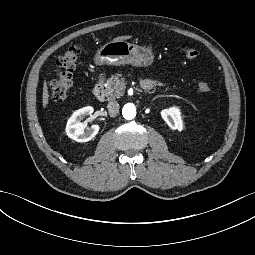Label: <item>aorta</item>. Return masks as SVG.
Masks as SVG:
<instances>
[{"instance_id": "762f6f07", "label": "aorta", "mask_w": 255, "mask_h": 255, "mask_svg": "<svg viewBox=\"0 0 255 255\" xmlns=\"http://www.w3.org/2000/svg\"><path fill=\"white\" fill-rule=\"evenodd\" d=\"M122 115L127 120H132L136 116V107L132 103H127L122 109Z\"/></svg>"}]
</instances>
